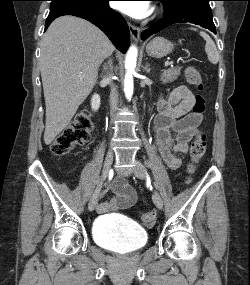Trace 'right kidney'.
<instances>
[{"mask_svg": "<svg viewBox=\"0 0 250 285\" xmlns=\"http://www.w3.org/2000/svg\"><path fill=\"white\" fill-rule=\"evenodd\" d=\"M91 107L92 110L97 111L100 107V96L98 94H94L91 98Z\"/></svg>", "mask_w": 250, "mask_h": 285, "instance_id": "ca27d5eb", "label": "right kidney"}]
</instances>
